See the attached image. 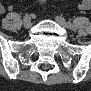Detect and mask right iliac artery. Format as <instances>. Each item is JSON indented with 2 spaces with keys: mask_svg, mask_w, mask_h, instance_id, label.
Segmentation results:
<instances>
[{
  "mask_svg": "<svg viewBox=\"0 0 91 91\" xmlns=\"http://www.w3.org/2000/svg\"><path fill=\"white\" fill-rule=\"evenodd\" d=\"M29 17V15H26L24 18H28Z\"/></svg>",
  "mask_w": 91,
  "mask_h": 91,
  "instance_id": "82829eb1",
  "label": "right iliac artery"
}]
</instances>
